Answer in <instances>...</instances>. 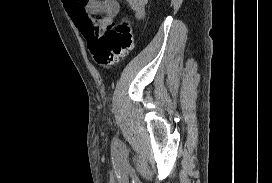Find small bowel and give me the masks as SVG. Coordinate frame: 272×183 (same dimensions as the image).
Listing matches in <instances>:
<instances>
[{
  "label": "small bowel",
  "mask_w": 272,
  "mask_h": 183,
  "mask_svg": "<svg viewBox=\"0 0 272 183\" xmlns=\"http://www.w3.org/2000/svg\"><path fill=\"white\" fill-rule=\"evenodd\" d=\"M137 19L145 16L148 0H125ZM64 7L83 37L90 41L113 24L119 12L117 0H63Z\"/></svg>",
  "instance_id": "1"
}]
</instances>
